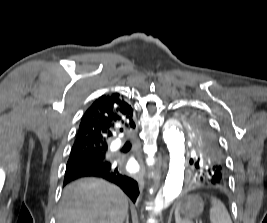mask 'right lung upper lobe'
<instances>
[{"mask_svg": "<svg viewBox=\"0 0 267 223\" xmlns=\"http://www.w3.org/2000/svg\"><path fill=\"white\" fill-rule=\"evenodd\" d=\"M135 128L133 109L119 93L102 95L82 117L72 149L92 146L107 150V140L117 132Z\"/></svg>", "mask_w": 267, "mask_h": 223, "instance_id": "cb5924a9", "label": "right lung upper lobe"}]
</instances>
